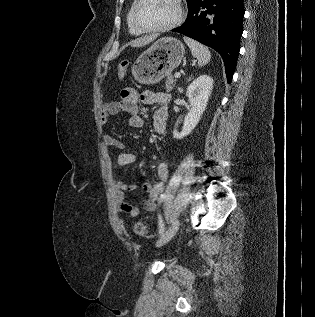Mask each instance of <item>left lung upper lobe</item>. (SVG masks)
Here are the masks:
<instances>
[{
  "label": "left lung upper lobe",
  "instance_id": "1",
  "mask_svg": "<svg viewBox=\"0 0 315 317\" xmlns=\"http://www.w3.org/2000/svg\"><path fill=\"white\" fill-rule=\"evenodd\" d=\"M186 1H187V4L189 5V4L191 3V1H192V0H186Z\"/></svg>",
  "mask_w": 315,
  "mask_h": 317
}]
</instances>
